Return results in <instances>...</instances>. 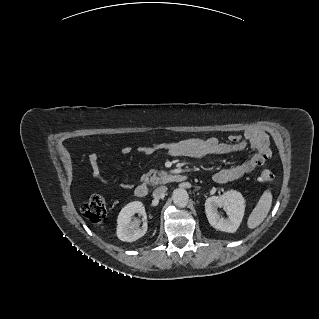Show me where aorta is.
I'll return each instance as SVG.
<instances>
[{"label":"aorta","mask_w":319,"mask_h":319,"mask_svg":"<svg viewBox=\"0 0 319 319\" xmlns=\"http://www.w3.org/2000/svg\"><path fill=\"white\" fill-rule=\"evenodd\" d=\"M173 203L180 208L185 207L188 204L189 195L183 188H177L172 194Z\"/></svg>","instance_id":"1"}]
</instances>
